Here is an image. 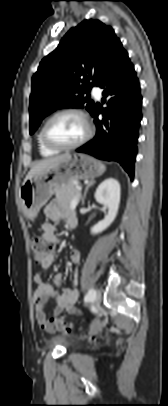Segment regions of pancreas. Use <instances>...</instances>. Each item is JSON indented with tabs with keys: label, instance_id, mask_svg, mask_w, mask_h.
Instances as JSON below:
<instances>
[{
	"label": "pancreas",
	"instance_id": "pancreas-1",
	"mask_svg": "<svg viewBox=\"0 0 168 406\" xmlns=\"http://www.w3.org/2000/svg\"><path fill=\"white\" fill-rule=\"evenodd\" d=\"M54 192H55L56 199L59 202L65 204L67 206H71V202L79 193V189L76 187V185L73 182H71L68 185H66L65 187L55 189Z\"/></svg>",
	"mask_w": 168,
	"mask_h": 406
}]
</instances>
